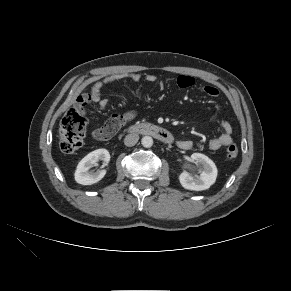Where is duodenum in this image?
I'll return each mask as SVG.
<instances>
[{"label":"duodenum","mask_w":291,"mask_h":291,"mask_svg":"<svg viewBox=\"0 0 291 291\" xmlns=\"http://www.w3.org/2000/svg\"><path fill=\"white\" fill-rule=\"evenodd\" d=\"M130 133H139L143 135H150L163 143H172L173 136L172 134L165 128L150 124V123H143L139 125H134L129 128Z\"/></svg>","instance_id":"obj_1"}]
</instances>
